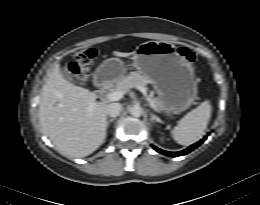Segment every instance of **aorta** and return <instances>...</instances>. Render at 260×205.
Segmentation results:
<instances>
[{
	"instance_id": "aorta-1",
	"label": "aorta",
	"mask_w": 260,
	"mask_h": 205,
	"mask_svg": "<svg viewBox=\"0 0 260 205\" xmlns=\"http://www.w3.org/2000/svg\"><path fill=\"white\" fill-rule=\"evenodd\" d=\"M129 112L134 117H140L143 113V110L139 105H134L129 109Z\"/></svg>"
}]
</instances>
